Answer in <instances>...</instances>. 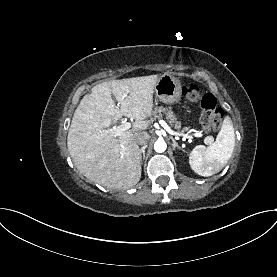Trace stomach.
Returning <instances> with one entry per match:
<instances>
[{"label":"stomach","instance_id":"obj_1","mask_svg":"<svg viewBox=\"0 0 277 277\" xmlns=\"http://www.w3.org/2000/svg\"><path fill=\"white\" fill-rule=\"evenodd\" d=\"M156 97L165 104L177 103L181 99L180 80L170 74L162 75L154 88Z\"/></svg>","mask_w":277,"mask_h":277}]
</instances>
